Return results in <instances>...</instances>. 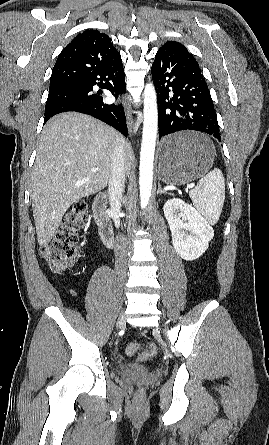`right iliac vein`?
Masks as SVG:
<instances>
[{"label":"right iliac vein","mask_w":269,"mask_h":445,"mask_svg":"<svg viewBox=\"0 0 269 445\" xmlns=\"http://www.w3.org/2000/svg\"><path fill=\"white\" fill-rule=\"evenodd\" d=\"M124 324H125V318H124V316H121V317L118 319L117 325L120 327V326H122V325H124Z\"/></svg>","instance_id":"right-iliac-vein-1"}]
</instances>
